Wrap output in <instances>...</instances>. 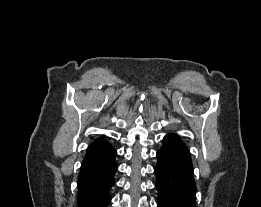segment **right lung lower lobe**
Listing matches in <instances>:
<instances>
[{"mask_svg":"<svg viewBox=\"0 0 261 207\" xmlns=\"http://www.w3.org/2000/svg\"><path fill=\"white\" fill-rule=\"evenodd\" d=\"M117 151L107 140H97L86 151L78 176V207H107L115 184Z\"/></svg>","mask_w":261,"mask_h":207,"instance_id":"right-lung-lower-lobe-1","label":"right lung lower lobe"}]
</instances>
